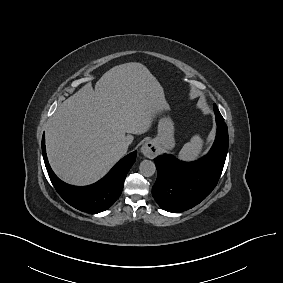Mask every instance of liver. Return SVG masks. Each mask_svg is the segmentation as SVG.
<instances>
[{"mask_svg": "<svg viewBox=\"0 0 283 283\" xmlns=\"http://www.w3.org/2000/svg\"><path fill=\"white\" fill-rule=\"evenodd\" d=\"M165 108L162 87L144 65L111 68L95 90L85 85L51 117L46 148L53 171L73 185L96 182L126 154L120 142L147 132Z\"/></svg>", "mask_w": 283, "mask_h": 283, "instance_id": "6515ba94", "label": "liver"}]
</instances>
